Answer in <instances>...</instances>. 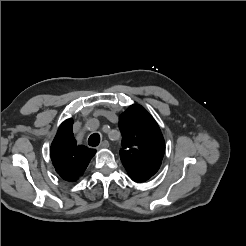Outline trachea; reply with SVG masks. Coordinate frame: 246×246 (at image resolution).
Here are the masks:
<instances>
[{
  "instance_id": "trachea-1",
  "label": "trachea",
  "mask_w": 246,
  "mask_h": 246,
  "mask_svg": "<svg viewBox=\"0 0 246 246\" xmlns=\"http://www.w3.org/2000/svg\"><path fill=\"white\" fill-rule=\"evenodd\" d=\"M100 143V135L98 133L92 134L88 139V144L90 146H98Z\"/></svg>"
}]
</instances>
